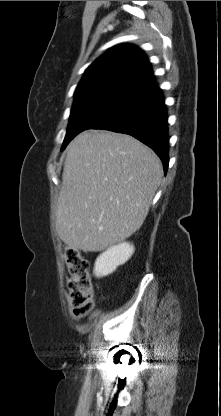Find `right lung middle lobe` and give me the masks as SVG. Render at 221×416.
<instances>
[{
	"instance_id": "1",
	"label": "right lung middle lobe",
	"mask_w": 221,
	"mask_h": 416,
	"mask_svg": "<svg viewBox=\"0 0 221 416\" xmlns=\"http://www.w3.org/2000/svg\"><path fill=\"white\" fill-rule=\"evenodd\" d=\"M125 97L124 94L96 93L75 98L62 150L79 132L100 123Z\"/></svg>"
}]
</instances>
